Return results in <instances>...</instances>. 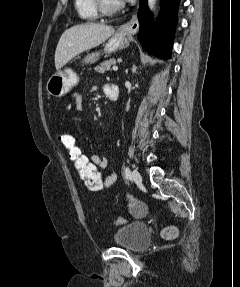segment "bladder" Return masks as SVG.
<instances>
[{
    "mask_svg": "<svg viewBox=\"0 0 240 287\" xmlns=\"http://www.w3.org/2000/svg\"><path fill=\"white\" fill-rule=\"evenodd\" d=\"M150 229L144 222L133 221L116 230L113 242L131 252H139L150 243Z\"/></svg>",
    "mask_w": 240,
    "mask_h": 287,
    "instance_id": "obj_1",
    "label": "bladder"
}]
</instances>
